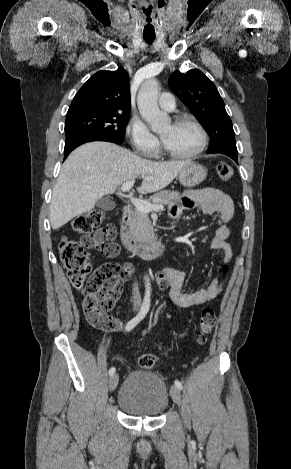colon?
<instances>
[{"label": "colon", "instance_id": "1", "mask_svg": "<svg viewBox=\"0 0 291 469\" xmlns=\"http://www.w3.org/2000/svg\"><path fill=\"white\" fill-rule=\"evenodd\" d=\"M216 172L220 180L229 181L233 176V168L226 162H220L216 166ZM106 213L101 210H92L77 216L72 222V229L82 234L80 240L63 238L59 245L60 257L67 270L68 278L76 289H81L84 294L83 312L87 321L94 327L109 330L113 326V320L107 312L115 304V294L124 280L132 274L130 264L107 263L91 273L89 254L87 248L93 243V231L105 220ZM107 253L117 255L119 247L112 241L106 248ZM228 266H224V271ZM216 325V315L212 308L202 310L199 319L198 331L195 336L196 345L202 346L207 342L208 335ZM156 361L154 354L145 353L139 357V366L150 369Z\"/></svg>", "mask_w": 291, "mask_h": 469}]
</instances>
